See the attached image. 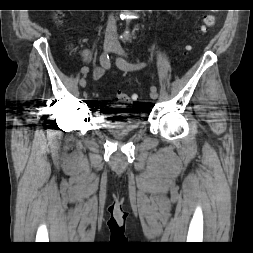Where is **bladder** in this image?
<instances>
[{
  "label": "bladder",
  "mask_w": 253,
  "mask_h": 253,
  "mask_svg": "<svg viewBox=\"0 0 253 253\" xmlns=\"http://www.w3.org/2000/svg\"><path fill=\"white\" fill-rule=\"evenodd\" d=\"M106 111H112V109H106ZM107 118L100 123L99 127L114 133H130L138 130L141 127V121L138 118H134L122 111H116L113 113H104Z\"/></svg>",
  "instance_id": "bladder-1"
}]
</instances>
